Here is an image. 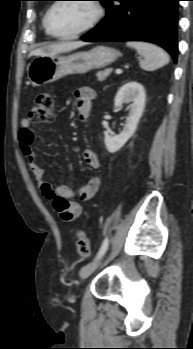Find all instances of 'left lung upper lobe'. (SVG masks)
<instances>
[{
  "label": "left lung upper lobe",
  "mask_w": 193,
  "mask_h": 349,
  "mask_svg": "<svg viewBox=\"0 0 193 349\" xmlns=\"http://www.w3.org/2000/svg\"><path fill=\"white\" fill-rule=\"evenodd\" d=\"M98 1H101L106 6V3L108 0H98Z\"/></svg>",
  "instance_id": "1"
}]
</instances>
